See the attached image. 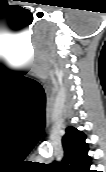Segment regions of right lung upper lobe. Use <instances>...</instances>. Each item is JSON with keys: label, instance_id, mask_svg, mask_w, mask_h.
I'll return each mask as SVG.
<instances>
[{"label": "right lung upper lobe", "instance_id": "right-lung-upper-lobe-1", "mask_svg": "<svg viewBox=\"0 0 106 172\" xmlns=\"http://www.w3.org/2000/svg\"><path fill=\"white\" fill-rule=\"evenodd\" d=\"M82 131L70 126L62 138L64 157L60 163L54 162L52 169L55 172H91V158L88 156V144Z\"/></svg>", "mask_w": 106, "mask_h": 172}]
</instances>
